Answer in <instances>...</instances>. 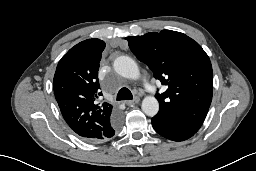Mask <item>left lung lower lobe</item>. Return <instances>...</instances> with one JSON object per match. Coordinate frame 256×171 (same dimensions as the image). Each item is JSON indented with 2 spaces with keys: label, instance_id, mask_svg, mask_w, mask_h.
Wrapping results in <instances>:
<instances>
[{
  "label": "left lung lower lobe",
  "instance_id": "1",
  "mask_svg": "<svg viewBox=\"0 0 256 171\" xmlns=\"http://www.w3.org/2000/svg\"><path fill=\"white\" fill-rule=\"evenodd\" d=\"M151 121L158 134L173 141H184L196 133V131L187 129L179 118L172 114L158 113Z\"/></svg>",
  "mask_w": 256,
  "mask_h": 171
}]
</instances>
